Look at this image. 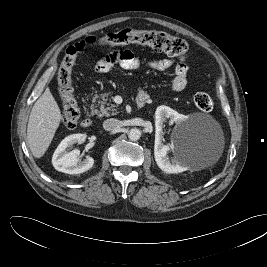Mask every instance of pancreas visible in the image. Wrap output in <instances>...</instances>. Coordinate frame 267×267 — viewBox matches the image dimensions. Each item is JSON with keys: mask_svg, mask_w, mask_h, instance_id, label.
Here are the masks:
<instances>
[{"mask_svg": "<svg viewBox=\"0 0 267 267\" xmlns=\"http://www.w3.org/2000/svg\"><path fill=\"white\" fill-rule=\"evenodd\" d=\"M110 96V93H104L101 94L98 100L97 105H93L91 107L92 114H96L98 117H103V116H110V115H116L117 114V109L115 104H109L108 100ZM97 97L93 98V102H96ZM99 107V109H97Z\"/></svg>", "mask_w": 267, "mask_h": 267, "instance_id": "obj_1", "label": "pancreas"}]
</instances>
